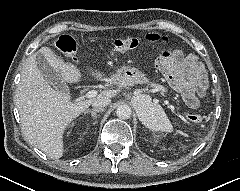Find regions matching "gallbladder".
Listing matches in <instances>:
<instances>
[{"instance_id": "bac80fb5", "label": "gallbladder", "mask_w": 240, "mask_h": 191, "mask_svg": "<svg viewBox=\"0 0 240 191\" xmlns=\"http://www.w3.org/2000/svg\"><path fill=\"white\" fill-rule=\"evenodd\" d=\"M36 63L41 74L49 83L63 93L69 92L68 85L62 81L57 71L48 63L43 55H37Z\"/></svg>"}]
</instances>
